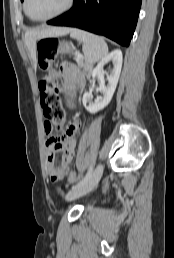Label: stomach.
<instances>
[{
  "mask_svg": "<svg viewBox=\"0 0 174 258\" xmlns=\"http://www.w3.org/2000/svg\"><path fill=\"white\" fill-rule=\"evenodd\" d=\"M71 50H72L71 45H70L69 43H65V42H63V43L60 45V47L58 48V52H59L60 54H68V53H70ZM57 76H58V75H57V73H56L55 70L49 71L48 78H49L50 80L56 79Z\"/></svg>",
  "mask_w": 174,
  "mask_h": 258,
  "instance_id": "1",
  "label": "stomach"
}]
</instances>
